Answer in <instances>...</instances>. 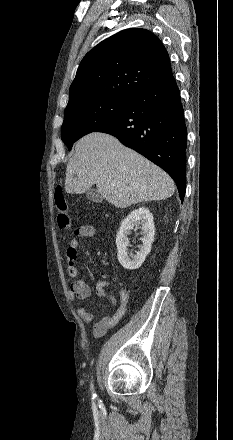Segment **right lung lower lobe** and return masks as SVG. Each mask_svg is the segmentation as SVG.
Masks as SVG:
<instances>
[{
	"label": "right lung lower lobe",
	"instance_id": "98d812e1",
	"mask_svg": "<svg viewBox=\"0 0 233 440\" xmlns=\"http://www.w3.org/2000/svg\"><path fill=\"white\" fill-rule=\"evenodd\" d=\"M95 132L115 136L122 144L164 169L176 182L183 201L187 129L180 92L173 75L133 95L113 121Z\"/></svg>",
	"mask_w": 233,
	"mask_h": 440
}]
</instances>
